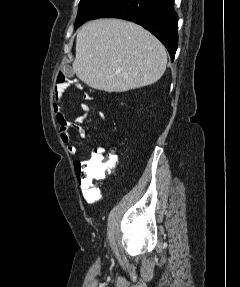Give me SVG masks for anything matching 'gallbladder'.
Segmentation results:
<instances>
[{"label": "gallbladder", "instance_id": "gallbladder-1", "mask_svg": "<svg viewBox=\"0 0 240 287\" xmlns=\"http://www.w3.org/2000/svg\"><path fill=\"white\" fill-rule=\"evenodd\" d=\"M66 74L71 77L72 76V71L70 70V68L66 69Z\"/></svg>", "mask_w": 240, "mask_h": 287}]
</instances>
